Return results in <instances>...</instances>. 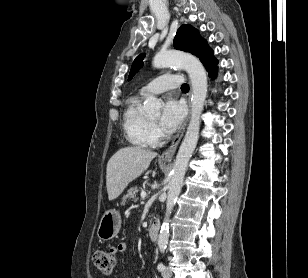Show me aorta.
Returning a JSON list of instances; mask_svg holds the SVG:
<instances>
[{
    "label": "aorta",
    "instance_id": "obj_1",
    "mask_svg": "<svg viewBox=\"0 0 308 278\" xmlns=\"http://www.w3.org/2000/svg\"><path fill=\"white\" fill-rule=\"evenodd\" d=\"M153 66L155 68L178 66L185 69L192 86L191 118L174 162L168 188L165 218L158 238V246L161 250H164L169 238V218L181 192L187 165L199 138L200 117L207 95V75L203 65L196 57L181 51H161L157 53L153 59ZM160 107V101L154 96H149L144 102L143 109L148 115L155 116L159 114Z\"/></svg>",
    "mask_w": 308,
    "mask_h": 278
}]
</instances>
